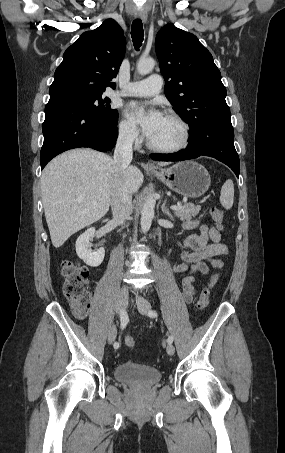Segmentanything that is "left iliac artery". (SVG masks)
<instances>
[{"instance_id": "obj_1", "label": "left iliac artery", "mask_w": 285, "mask_h": 453, "mask_svg": "<svg viewBox=\"0 0 285 453\" xmlns=\"http://www.w3.org/2000/svg\"><path fill=\"white\" fill-rule=\"evenodd\" d=\"M148 316L151 317V318H155L158 316L157 312L155 310H150L148 312ZM167 342L168 344H172L173 342V337L172 336H169L168 339H167Z\"/></svg>"}]
</instances>
